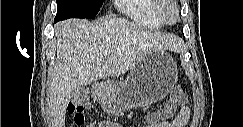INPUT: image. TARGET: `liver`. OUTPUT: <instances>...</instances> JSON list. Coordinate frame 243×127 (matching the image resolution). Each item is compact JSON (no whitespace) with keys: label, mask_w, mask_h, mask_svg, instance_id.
Returning a JSON list of instances; mask_svg holds the SVG:
<instances>
[{"label":"liver","mask_w":243,"mask_h":127,"mask_svg":"<svg viewBox=\"0 0 243 127\" xmlns=\"http://www.w3.org/2000/svg\"><path fill=\"white\" fill-rule=\"evenodd\" d=\"M57 58L50 73L48 106L52 127H65V113L73 90L131 70L154 51H179L174 35L144 29L124 18L94 23L70 19L55 25ZM104 50H110L104 55Z\"/></svg>","instance_id":"liver-1"}]
</instances>
